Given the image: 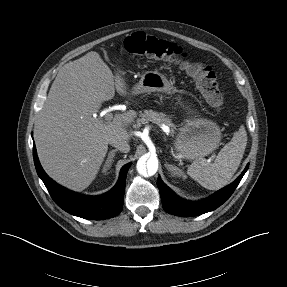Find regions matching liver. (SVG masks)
I'll return each instance as SVG.
<instances>
[{"mask_svg":"<svg viewBox=\"0 0 287 287\" xmlns=\"http://www.w3.org/2000/svg\"><path fill=\"white\" fill-rule=\"evenodd\" d=\"M115 90L127 95L126 82L91 51L65 64L52 83L39 113L35 144L46 173L59 184L82 191L96 178L111 137L130 140L126 128L136 117L129 110L112 122L97 117Z\"/></svg>","mask_w":287,"mask_h":287,"instance_id":"1","label":"liver"}]
</instances>
